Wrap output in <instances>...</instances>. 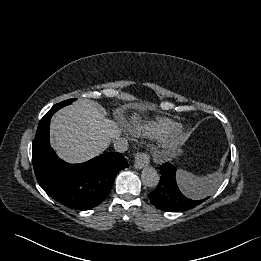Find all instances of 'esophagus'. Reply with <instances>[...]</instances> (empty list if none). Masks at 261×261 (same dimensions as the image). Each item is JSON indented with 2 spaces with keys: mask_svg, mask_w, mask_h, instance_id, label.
<instances>
[{
  "mask_svg": "<svg viewBox=\"0 0 261 261\" xmlns=\"http://www.w3.org/2000/svg\"><path fill=\"white\" fill-rule=\"evenodd\" d=\"M149 162H150V156L145 152H139L135 157L134 167L136 169H141L147 166Z\"/></svg>",
  "mask_w": 261,
  "mask_h": 261,
  "instance_id": "esophagus-1",
  "label": "esophagus"
}]
</instances>
